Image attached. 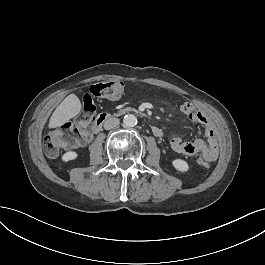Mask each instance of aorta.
Returning <instances> with one entry per match:
<instances>
[{
	"mask_svg": "<svg viewBox=\"0 0 265 265\" xmlns=\"http://www.w3.org/2000/svg\"><path fill=\"white\" fill-rule=\"evenodd\" d=\"M123 123L127 127H134L137 124V118L133 114H127L123 118Z\"/></svg>",
	"mask_w": 265,
	"mask_h": 265,
	"instance_id": "aorta-1",
	"label": "aorta"
}]
</instances>
